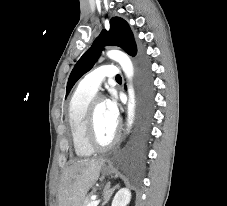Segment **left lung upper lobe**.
I'll use <instances>...</instances> for the list:
<instances>
[{"mask_svg": "<svg viewBox=\"0 0 227 206\" xmlns=\"http://www.w3.org/2000/svg\"><path fill=\"white\" fill-rule=\"evenodd\" d=\"M104 46L120 47L131 56L137 54V47L128 23L119 17L112 18L109 31L103 30L91 48L74 66L67 83L66 97L78 79L94 66Z\"/></svg>", "mask_w": 227, "mask_h": 206, "instance_id": "1", "label": "left lung upper lobe"}]
</instances>
